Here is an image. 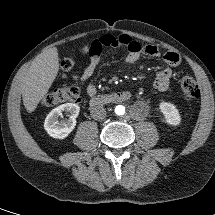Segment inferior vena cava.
Wrapping results in <instances>:
<instances>
[{
    "label": "inferior vena cava",
    "instance_id": "inferior-vena-cava-1",
    "mask_svg": "<svg viewBox=\"0 0 215 215\" xmlns=\"http://www.w3.org/2000/svg\"><path fill=\"white\" fill-rule=\"evenodd\" d=\"M91 117L95 120H103L106 117V110L102 106H95L90 111Z\"/></svg>",
    "mask_w": 215,
    "mask_h": 215
}]
</instances>
